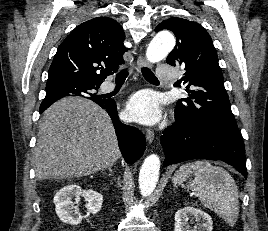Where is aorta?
Segmentation results:
<instances>
[{"mask_svg": "<svg viewBox=\"0 0 268 231\" xmlns=\"http://www.w3.org/2000/svg\"><path fill=\"white\" fill-rule=\"evenodd\" d=\"M175 46V38L169 32L158 33L149 43L147 60L155 63L164 59ZM160 158L156 154L147 156L139 173V189L142 196H149L159 179Z\"/></svg>", "mask_w": 268, "mask_h": 231, "instance_id": "aorta-1", "label": "aorta"}]
</instances>
